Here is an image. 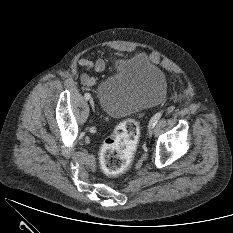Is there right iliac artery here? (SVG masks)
Wrapping results in <instances>:
<instances>
[{
    "label": "right iliac artery",
    "mask_w": 233,
    "mask_h": 233,
    "mask_svg": "<svg viewBox=\"0 0 233 233\" xmlns=\"http://www.w3.org/2000/svg\"><path fill=\"white\" fill-rule=\"evenodd\" d=\"M84 98L86 100H89L91 98V95L89 93H85Z\"/></svg>",
    "instance_id": "obj_1"
}]
</instances>
